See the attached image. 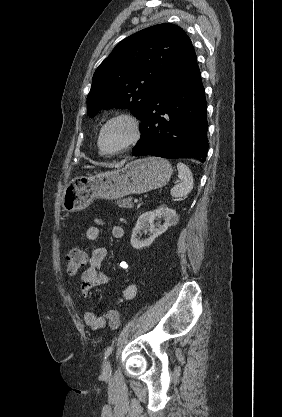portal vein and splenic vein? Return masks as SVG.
<instances>
[{"label": "portal vein and splenic vein", "mask_w": 282, "mask_h": 417, "mask_svg": "<svg viewBox=\"0 0 282 417\" xmlns=\"http://www.w3.org/2000/svg\"><path fill=\"white\" fill-rule=\"evenodd\" d=\"M133 202H134V203H139V202H140V199H139V198H134V199H133Z\"/></svg>", "instance_id": "18ae733b"}]
</instances>
